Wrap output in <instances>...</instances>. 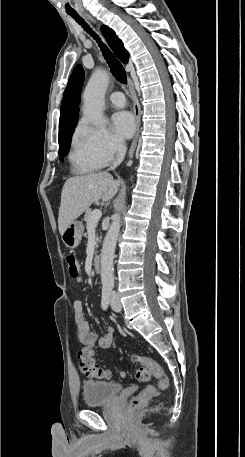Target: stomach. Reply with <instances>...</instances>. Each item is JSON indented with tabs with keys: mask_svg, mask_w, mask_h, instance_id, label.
I'll return each instance as SVG.
<instances>
[{
	"mask_svg": "<svg viewBox=\"0 0 245 457\" xmlns=\"http://www.w3.org/2000/svg\"><path fill=\"white\" fill-rule=\"evenodd\" d=\"M83 233V222H81V220H73L71 224H68L67 229L63 231L61 239L65 247H68V249H76L82 239Z\"/></svg>",
	"mask_w": 245,
	"mask_h": 457,
	"instance_id": "0dacf381",
	"label": "stomach"
}]
</instances>
